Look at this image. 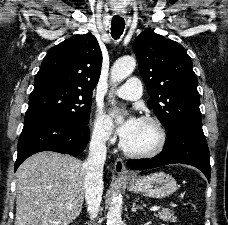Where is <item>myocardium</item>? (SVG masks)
Wrapping results in <instances>:
<instances>
[{"label": "myocardium", "mask_w": 228, "mask_h": 225, "mask_svg": "<svg viewBox=\"0 0 228 225\" xmlns=\"http://www.w3.org/2000/svg\"><path fill=\"white\" fill-rule=\"evenodd\" d=\"M140 121L152 124L158 131L159 134V142L157 146L151 150H137L130 148L125 141L121 142V149L124 153L133 156V157H141V158H150L155 157L163 152L167 144V132L163 125V123L152 116H143Z\"/></svg>", "instance_id": "1"}]
</instances>
